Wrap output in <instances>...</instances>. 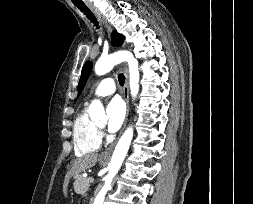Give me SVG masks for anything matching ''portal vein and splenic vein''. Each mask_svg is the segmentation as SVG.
<instances>
[{
	"label": "portal vein and splenic vein",
	"instance_id": "obj_1",
	"mask_svg": "<svg viewBox=\"0 0 253 204\" xmlns=\"http://www.w3.org/2000/svg\"><path fill=\"white\" fill-rule=\"evenodd\" d=\"M88 182L89 183H93L94 182V178L93 177H88Z\"/></svg>",
	"mask_w": 253,
	"mask_h": 204
}]
</instances>
